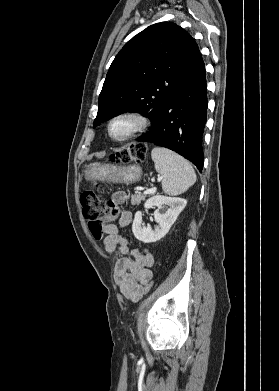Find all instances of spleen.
I'll list each match as a JSON object with an SVG mask.
<instances>
[{
	"label": "spleen",
	"mask_w": 279,
	"mask_h": 391,
	"mask_svg": "<svg viewBox=\"0 0 279 391\" xmlns=\"http://www.w3.org/2000/svg\"><path fill=\"white\" fill-rule=\"evenodd\" d=\"M151 156L156 171L163 176L162 189L166 194H182L196 182L193 167L179 154L164 147H155Z\"/></svg>",
	"instance_id": "spleen-1"
}]
</instances>
